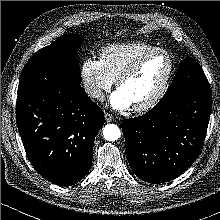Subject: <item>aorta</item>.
<instances>
[{"label": "aorta", "mask_w": 220, "mask_h": 220, "mask_svg": "<svg viewBox=\"0 0 220 220\" xmlns=\"http://www.w3.org/2000/svg\"><path fill=\"white\" fill-rule=\"evenodd\" d=\"M103 136L107 141L114 142L121 136L120 129L115 124H108L103 128Z\"/></svg>", "instance_id": "1"}]
</instances>
